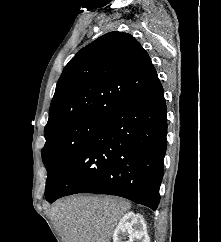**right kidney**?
<instances>
[{"label":"right kidney","instance_id":"obj_1","mask_svg":"<svg viewBox=\"0 0 221 242\" xmlns=\"http://www.w3.org/2000/svg\"><path fill=\"white\" fill-rule=\"evenodd\" d=\"M128 235L129 240L123 241ZM150 242L142 215L128 212L119 221L113 233V242Z\"/></svg>","mask_w":221,"mask_h":242}]
</instances>
